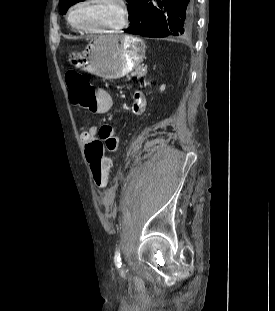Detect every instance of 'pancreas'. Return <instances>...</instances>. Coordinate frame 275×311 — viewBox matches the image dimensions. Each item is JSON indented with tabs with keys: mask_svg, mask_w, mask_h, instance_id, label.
<instances>
[{
	"mask_svg": "<svg viewBox=\"0 0 275 311\" xmlns=\"http://www.w3.org/2000/svg\"><path fill=\"white\" fill-rule=\"evenodd\" d=\"M145 74H146V67L139 66L137 67L135 72H133L131 75L141 77L144 76Z\"/></svg>",
	"mask_w": 275,
	"mask_h": 311,
	"instance_id": "cf45deb5",
	"label": "pancreas"
}]
</instances>
